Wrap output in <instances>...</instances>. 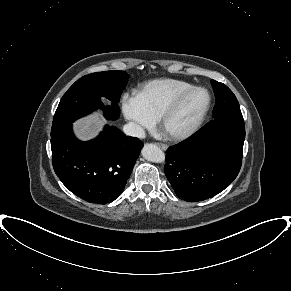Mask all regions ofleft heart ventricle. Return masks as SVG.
Wrapping results in <instances>:
<instances>
[{"label":"left heart ventricle","mask_w":291,"mask_h":291,"mask_svg":"<svg viewBox=\"0 0 291 291\" xmlns=\"http://www.w3.org/2000/svg\"><path fill=\"white\" fill-rule=\"evenodd\" d=\"M207 102V94L203 90L191 93L170 117L167 129L180 132L187 129L197 119Z\"/></svg>","instance_id":"obj_1"}]
</instances>
